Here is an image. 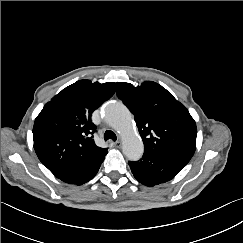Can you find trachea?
Masks as SVG:
<instances>
[{
	"instance_id": "trachea-1",
	"label": "trachea",
	"mask_w": 243,
	"mask_h": 243,
	"mask_svg": "<svg viewBox=\"0 0 243 243\" xmlns=\"http://www.w3.org/2000/svg\"><path fill=\"white\" fill-rule=\"evenodd\" d=\"M104 139H105V141H107L109 139L116 141L117 137H116V134L113 131L108 130L104 134Z\"/></svg>"
}]
</instances>
